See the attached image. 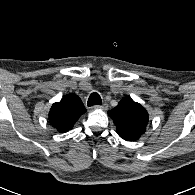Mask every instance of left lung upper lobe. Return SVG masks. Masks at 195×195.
<instances>
[{"label": "left lung upper lobe", "instance_id": "5c2ea615", "mask_svg": "<svg viewBox=\"0 0 195 195\" xmlns=\"http://www.w3.org/2000/svg\"><path fill=\"white\" fill-rule=\"evenodd\" d=\"M108 114L117 127V134L126 141L138 140L148 126L146 109L131 98L121 100Z\"/></svg>", "mask_w": 195, "mask_h": 195}]
</instances>
